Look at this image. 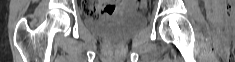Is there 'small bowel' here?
<instances>
[{
    "mask_svg": "<svg viewBox=\"0 0 235 62\" xmlns=\"http://www.w3.org/2000/svg\"><path fill=\"white\" fill-rule=\"evenodd\" d=\"M97 5H100L104 9L103 15L113 13L117 9L114 2L88 3L87 8L96 7Z\"/></svg>",
    "mask_w": 235,
    "mask_h": 62,
    "instance_id": "obj_1",
    "label": "small bowel"
}]
</instances>
